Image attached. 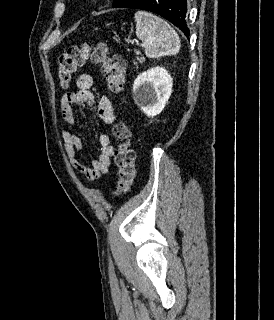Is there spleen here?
<instances>
[{
  "label": "spleen",
  "mask_w": 274,
  "mask_h": 320,
  "mask_svg": "<svg viewBox=\"0 0 274 320\" xmlns=\"http://www.w3.org/2000/svg\"><path fill=\"white\" fill-rule=\"evenodd\" d=\"M136 36L144 42L147 58L176 56L180 50V38L162 18L149 12H136Z\"/></svg>",
  "instance_id": "3e777b00"
}]
</instances>
